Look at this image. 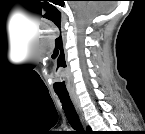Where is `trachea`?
Listing matches in <instances>:
<instances>
[{
    "label": "trachea",
    "mask_w": 145,
    "mask_h": 134,
    "mask_svg": "<svg viewBox=\"0 0 145 134\" xmlns=\"http://www.w3.org/2000/svg\"><path fill=\"white\" fill-rule=\"evenodd\" d=\"M58 97L62 103L63 110H64L66 117H67L69 123L71 124V126L74 129L79 130L78 132L83 130L81 122L78 117V114L73 106V103H72L69 95L58 94Z\"/></svg>",
    "instance_id": "obj_1"
}]
</instances>
